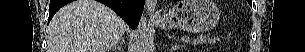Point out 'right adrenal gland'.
<instances>
[{
	"instance_id": "right-adrenal-gland-1",
	"label": "right adrenal gland",
	"mask_w": 305,
	"mask_h": 52,
	"mask_svg": "<svg viewBox=\"0 0 305 52\" xmlns=\"http://www.w3.org/2000/svg\"><path fill=\"white\" fill-rule=\"evenodd\" d=\"M124 44V40L119 41L113 48L112 50L115 51L118 49L119 52L122 51V45Z\"/></svg>"
}]
</instances>
